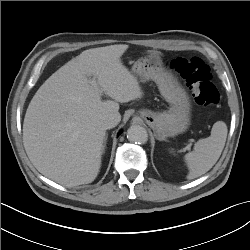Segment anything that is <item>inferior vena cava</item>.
Here are the masks:
<instances>
[{"instance_id":"obj_1","label":"inferior vena cava","mask_w":250,"mask_h":250,"mask_svg":"<svg viewBox=\"0 0 250 250\" xmlns=\"http://www.w3.org/2000/svg\"><path fill=\"white\" fill-rule=\"evenodd\" d=\"M119 122H120L119 116H116L114 114H109L102 119L101 123L105 129H111L115 127Z\"/></svg>"}]
</instances>
